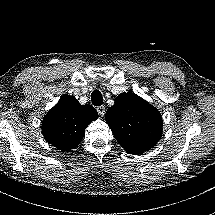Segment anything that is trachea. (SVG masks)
<instances>
[{"instance_id":"1","label":"trachea","mask_w":215,"mask_h":215,"mask_svg":"<svg viewBox=\"0 0 215 215\" xmlns=\"http://www.w3.org/2000/svg\"><path fill=\"white\" fill-rule=\"evenodd\" d=\"M91 100H92V104L95 106H101L103 103V97L101 92L96 89L92 92L91 94Z\"/></svg>"}]
</instances>
